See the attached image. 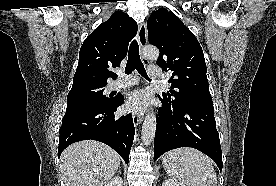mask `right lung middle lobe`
I'll return each instance as SVG.
<instances>
[{"instance_id": "right-lung-middle-lobe-1", "label": "right lung middle lobe", "mask_w": 276, "mask_h": 186, "mask_svg": "<svg viewBox=\"0 0 276 186\" xmlns=\"http://www.w3.org/2000/svg\"><path fill=\"white\" fill-rule=\"evenodd\" d=\"M105 85H83L72 88L67 96L66 111L84 107H102L113 102L115 97H106Z\"/></svg>"}]
</instances>
